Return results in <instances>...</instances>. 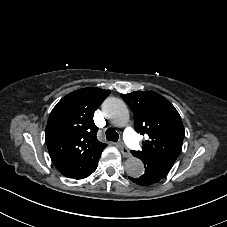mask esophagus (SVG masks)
Masks as SVG:
<instances>
[{
	"label": "esophagus",
	"mask_w": 227,
	"mask_h": 227,
	"mask_svg": "<svg viewBox=\"0 0 227 227\" xmlns=\"http://www.w3.org/2000/svg\"><path fill=\"white\" fill-rule=\"evenodd\" d=\"M119 147H120V151L124 157H126V158L131 157L130 151L128 150V148L125 146V144L122 141L119 142Z\"/></svg>",
	"instance_id": "34e87169"
}]
</instances>
